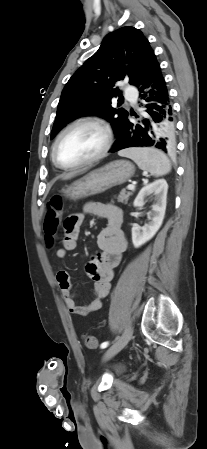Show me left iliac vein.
I'll use <instances>...</instances> for the list:
<instances>
[{"mask_svg":"<svg viewBox=\"0 0 207 449\" xmlns=\"http://www.w3.org/2000/svg\"><path fill=\"white\" fill-rule=\"evenodd\" d=\"M133 335V329L131 326H128L122 336L106 351L104 355V359H110L118 352H120L130 341Z\"/></svg>","mask_w":207,"mask_h":449,"instance_id":"1","label":"left iliac vein"}]
</instances>
